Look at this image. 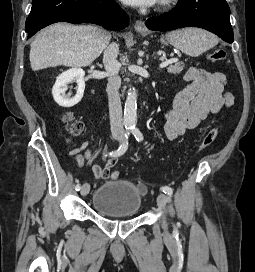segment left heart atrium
Instances as JSON below:
<instances>
[{"mask_svg":"<svg viewBox=\"0 0 255 272\" xmlns=\"http://www.w3.org/2000/svg\"><path fill=\"white\" fill-rule=\"evenodd\" d=\"M133 6L138 7H151L154 6L159 0H122Z\"/></svg>","mask_w":255,"mask_h":272,"instance_id":"left-heart-atrium-1","label":"left heart atrium"}]
</instances>
